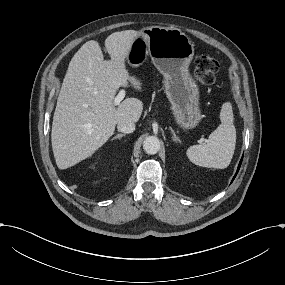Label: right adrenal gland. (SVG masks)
<instances>
[{"label": "right adrenal gland", "instance_id": "obj_1", "mask_svg": "<svg viewBox=\"0 0 285 285\" xmlns=\"http://www.w3.org/2000/svg\"><path fill=\"white\" fill-rule=\"evenodd\" d=\"M126 136V134H117L116 136H114L111 141L115 140V139H121L122 137Z\"/></svg>", "mask_w": 285, "mask_h": 285}]
</instances>
